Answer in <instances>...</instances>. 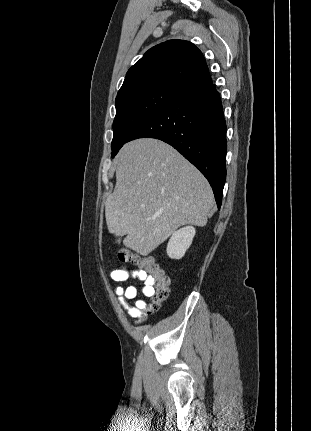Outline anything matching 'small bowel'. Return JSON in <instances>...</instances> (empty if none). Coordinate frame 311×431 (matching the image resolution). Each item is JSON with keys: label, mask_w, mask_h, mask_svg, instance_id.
<instances>
[{"label": "small bowel", "mask_w": 311, "mask_h": 431, "mask_svg": "<svg viewBox=\"0 0 311 431\" xmlns=\"http://www.w3.org/2000/svg\"><path fill=\"white\" fill-rule=\"evenodd\" d=\"M110 277L114 282H125L131 278L137 279L144 284L142 294L145 297H150L152 294L151 279L144 270L121 266L114 269ZM115 293L118 303L134 318L135 323H142L149 310V305L145 300L137 299V287L134 285L118 286L115 288Z\"/></svg>", "instance_id": "obj_1"}]
</instances>
